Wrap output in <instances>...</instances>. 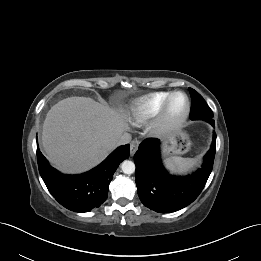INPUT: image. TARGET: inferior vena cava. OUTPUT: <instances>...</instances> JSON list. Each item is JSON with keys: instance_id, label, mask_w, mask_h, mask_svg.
Returning a JSON list of instances; mask_svg holds the SVG:
<instances>
[{"instance_id": "602c4592", "label": "inferior vena cava", "mask_w": 261, "mask_h": 261, "mask_svg": "<svg viewBox=\"0 0 261 261\" xmlns=\"http://www.w3.org/2000/svg\"><path fill=\"white\" fill-rule=\"evenodd\" d=\"M131 141V135L127 132H124L119 140H118V145H123V144H127Z\"/></svg>"}]
</instances>
